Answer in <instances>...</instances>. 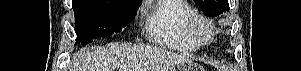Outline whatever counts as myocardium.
Wrapping results in <instances>:
<instances>
[{
	"label": "myocardium",
	"instance_id": "obj_1",
	"mask_svg": "<svg viewBox=\"0 0 301 71\" xmlns=\"http://www.w3.org/2000/svg\"><path fill=\"white\" fill-rule=\"evenodd\" d=\"M207 29V36L204 37L200 28ZM187 29L190 36L200 45L210 44L215 38V28L212 22L202 14L194 12L187 21Z\"/></svg>",
	"mask_w": 301,
	"mask_h": 71
}]
</instances>
